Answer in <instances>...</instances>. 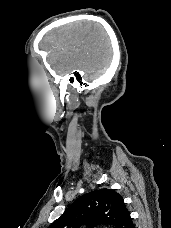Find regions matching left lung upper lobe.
<instances>
[{
    "label": "left lung upper lobe",
    "mask_w": 171,
    "mask_h": 228,
    "mask_svg": "<svg viewBox=\"0 0 171 228\" xmlns=\"http://www.w3.org/2000/svg\"><path fill=\"white\" fill-rule=\"evenodd\" d=\"M130 219L122 196L113 189H100L78 198L49 228H79L81 224L93 228L102 223L125 228Z\"/></svg>",
    "instance_id": "left-lung-upper-lobe-1"
}]
</instances>
